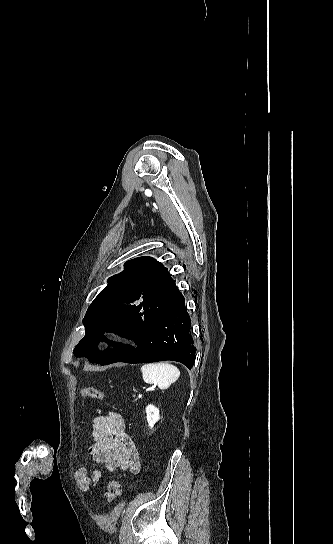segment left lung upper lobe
<instances>
[{"label":"left lung upper lobe","instance_id":"5c2ea615","mask_svg":"<svg viewBox=\"0 0 333 544\" xmlns=\"http://www.w3.org/2000/svg\"><path fill=\"white\" fill-rule=\"evenodd\" d=\"M109 284L89 306L83 319L85 337L74 349L76 357L99 361L93 335L108 320L138 323L155 320L182 296L167 268L152 257L129 260L124 271L112 276Z\"/></svg>","mask_w":333,"mask_h":544}]
</instances>
